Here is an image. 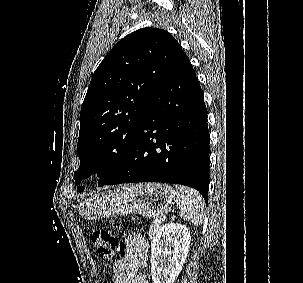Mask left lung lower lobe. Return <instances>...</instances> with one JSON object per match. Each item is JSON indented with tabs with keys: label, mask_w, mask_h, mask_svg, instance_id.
<instances>
[{
	"label": "left lung lower lobe",
	"mask_w": 303,
	"mask_h": 283,
	"mask_svg": "<svg viewBox=\"0 0 303 283\" xmlns=\"http://www.w3.org/2000/svg\"><path fill=\"white\" fill-rule=\"evenodd\" d=\"M209 131L195 71L181 51L165 74L119 171L104 185L166 182L198 190L207 203Z\"/></svg>",
	"instance_id": "0a47b994"
}]
</instances>
